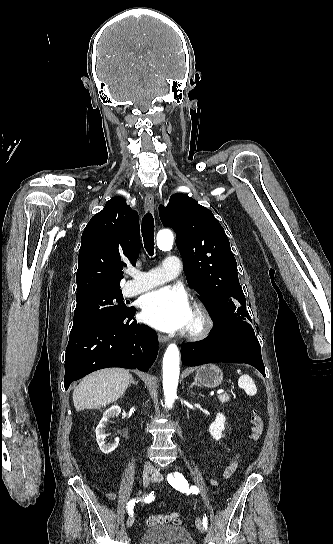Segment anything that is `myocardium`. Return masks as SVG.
Segmentation results:
<instances>
[{
	"label": "myocardium",
	"mask_w": 333,
	"mask_h": 544,
	"mask_svg": "<svg viewBox=\"0 0 333 544\" xmlns=\"http://www.w3.org/2000/svg\"><path fill=\"white\" fill-rule=\"evenodd\" d=\"M195 321L186 330L187 337L202 339L208 336L214 328V319L208 308L202 302H195L192 311Z\"/></svg>",
	"instance_id": "f54148a6"
}]
</instances>
